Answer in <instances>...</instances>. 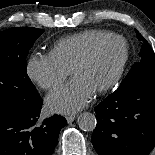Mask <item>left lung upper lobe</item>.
<instances>
[{
    "label": "left lung upper lobe",
    "mask_w": 155,
    "mask_h": 155,
    "mask_svg": "<svg viewBox=\"0 0 155 155\" xmlns=\"http://www.w3.org/2000/svg\"><path fill=\"white\" fill-rule=\"evenodd\" d=\"M136 34L138 40L142 43V48L139 53L141 59L132 66L129 73L119 86L120 88L134 85L145 79L147 76L155 73V53L149 43L137 30Z\"/></svg>",
    "instance_id": "5c2ea615"
}]
</instances>
